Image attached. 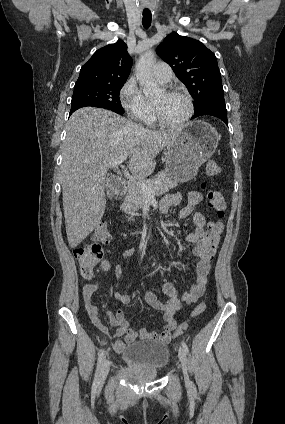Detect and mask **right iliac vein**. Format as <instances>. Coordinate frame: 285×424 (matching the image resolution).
<instances>
[{
    "mask_svg": "<svg viewBox=\"0 0 285 424\" xmlns=\"http://www.w3.org/2000/svg\"><path fill=\"white\" fill-rule=\"evenodd\" d=\"M110 369V361L105 359L100 368L99 383H104Z\"/></svg>",
    "mask_w": 285,
    "mask_h": 424,
    "instance_id": "right-iliac-vein-1",
    "label": "right iliac vein"
}]
</instances>
